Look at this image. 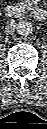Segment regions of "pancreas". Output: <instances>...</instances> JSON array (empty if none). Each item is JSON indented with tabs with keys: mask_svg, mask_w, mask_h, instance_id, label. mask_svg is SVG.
Here are the masks:
<instances>
[{
	"mask_svg": "<svg viewBox=\"0 0 47 129\" xmlns=\"http://www.w3.org/2000/svg\"><path fill=\"white\" fill-rule=\"evenodd\" d=\"M32 1L33 0H25L24 2L18 3V6L20 8H27L28 6H30V4H31Z\"/></svg>",
	"mask_w": 47,
	"mask_h": 129,
	"instance_id": "pancreas-1",
	"label": "pancreas"
}]
</instances>
